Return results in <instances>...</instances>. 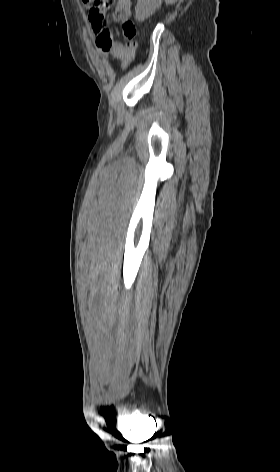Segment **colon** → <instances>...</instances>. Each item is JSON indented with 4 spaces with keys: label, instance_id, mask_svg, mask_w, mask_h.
I'll use <instances>...</instances> for the list:
<instances>
[{
    "label": "colon",
    "instance_id": "5ec220e1",
    "mask_svg": "<svg viewBox=\"0 0 280 472\" xmlns=\"http://www.w3.org/2000/svg\"><path fill=\"white\" fill-rule=\"evenodd\" d=\"M86 2H93L90 9L89 19L95 24L101 26L106 25L105 13L107 8L115 2V0H85ZM122 32L126 39V44L129 48L135 47L134 38L137 33L135 24L131 20H125L122 22Z\"/></svg>",
    "mask_w": 280,
    "mask_h": 472
}]
</instances>
